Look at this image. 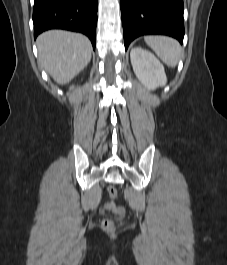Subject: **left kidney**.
Instances as JSON below:
<instances>
[{
    "mask_svg": "<svg viewBox=\"0 0 227 265\" xmlns=\"http://www.w3.org/2000/svg\"><path fill=\"white\" fill-rule=\"evenodd\" d=\"M130 59L134 73L145 87L154 90L166 84L164 67L151 52L141 47H134Z\"/></svg>",
    "mask_w": 227,
    "mask_h": 265,
    "instance_id": "obj_1",
    "label": "left kidney"
}]
</instances>
